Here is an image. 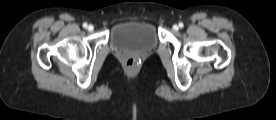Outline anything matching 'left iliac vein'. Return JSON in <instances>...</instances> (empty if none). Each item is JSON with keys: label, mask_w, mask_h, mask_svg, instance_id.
Returning <instances> with one entry per match:
<instances>
[{"label": "left iliac vein", "mask_w": 276, "mask_h": 120, "mask_svg": "<svg viewBox=\"0 0 276 120\" xmlns=\"http://www.w3.org/2000/svg\"><path fill=\"white\" fill-rule=\"evenodd\" d=\"M173 29H174L175 31H177L179 28H178L177 25H173Z\"/></svg>", "instance_id": "obj_1"}]
</instances>
